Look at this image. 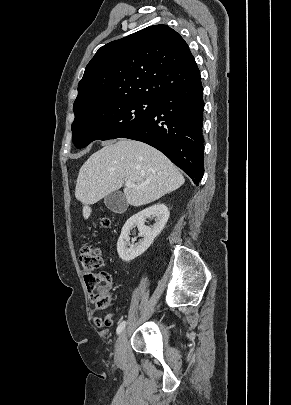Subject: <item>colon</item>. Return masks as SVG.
Here are the masks:
<instances>
[{
	"mask_svg": "<svg viewBox=\"0 0 291 405\" xmlns=\"http://www.w3.org/2000/svg\"><path fill=\"white\" fill-rule=\"evenodd\" d=\"M102 226H108V218L100 220ZM79 260L87 287L88 294L96 309L102 310L109 305V294L111 289L110 275L101 271L103 260L99 249L88 244H84L79 251Z\"/></svg>",
	"mask_w": 291,
	"mask_h": 405,
	"instance_id": "5ec220e1",
	"label": "colon"
}]
</instances>
